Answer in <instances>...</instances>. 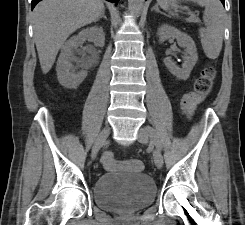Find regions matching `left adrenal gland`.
Instances as JSON below:
<instances>
[{
    "mask_svg": "<svg viewBox=\"0 0 245 225\" xmlns=\"http://www.w3.org/2000/svg\"><path fill=\"white\" fill-rule=\"evenodd\" d=\"M156 11L157 13H162L160 10H159V8H158V6L157 5H155L153 8H152V11Z\"/></svg>",
    "mask_w": 245,
    "mask_h": 225,
    "instance_id": "obj_1",
    "label": "left adrenal gland"
}]
</instances>
